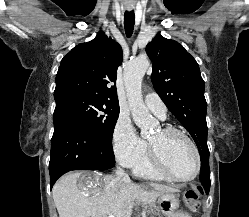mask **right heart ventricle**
Wrapping results in <instances>:
<instances>
[{
	"mask_svg": "<svg viewBox=\"0 0 249 217\" xmlns=\"http://www.w3.org/2000/svg\"><path fill=\"white\" fill-rule=\"evenodd\" d=\"M133 166L134 173L140 177L151 180H168L153 168L147 152Z\"/></svg>",
	"mask_w": 249,
	"mask_h": 217,
	"instance_id": "e07e8e85",
	"label": "right heart ventricle"
}]
</instances>
